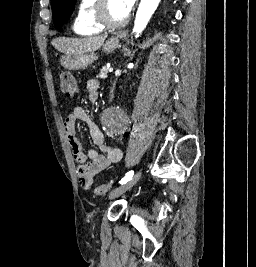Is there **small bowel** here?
Wrapping results in <instances>:
<instances>
[{
    "mask_svg": "<svg viewBox=\"0 0 256 267\" xmlns=\"http://www.w3.org/2000/svg\"><path fill=\"white\" fill-rule=\"evenodd\" d=\"M86 90L89 101L97 102L100 95V82L97 79H90L86 84ZM79 120L86 124L93 143L101 153L93 147H83L76 131V123ZM64 130L74 158L78 162L76 173L80 184L84 189L89 190L93 185L94 177L99 172L122 159V151L106 144L98 126L81 107H75L67 116Z\"/></svg>",
    "mask_w": 256,
    "mask_h": 267,
    "instance_id": "obj_1",
    "label": "small bowel"
}]
</instances>
